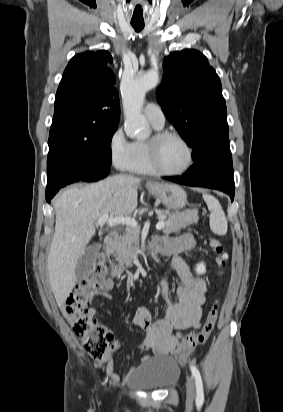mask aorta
I'll return each instance as SVG.
<instances>
[{
	"instance_id": "aorta-1",
	"label": "aorta",
	"mask_w": 283,
	"mask_h": 412,
	"mask_svg": "<svg viewBox=\"0 0 283 412\" xmlns=\"http://www.w3.org/2000/svg\"><path fill=\"white\" fill-rule=\"evenodd\" d=\"M158 74L151 72L145 76H131L123 79L121 94L125 116L124 130L129 137L144 138L149 135L141 114L145 94L157 86Z\"/></svg>"
}]
</instances>
